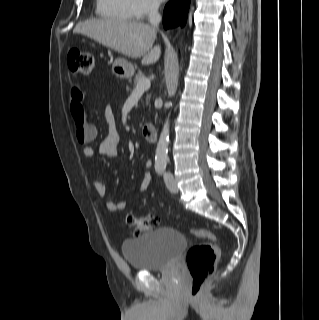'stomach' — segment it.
<instances>
[{
  "label": "stomach",
  "instance_id": "0dacf381",
  "mask_svg": "<svg viewBox=\"0 0 319 320\" xmlns=\"http://www.w3.org/2000/svg\"><path fill=\"white\" fill-rule=\"evenodd\" d=\"M112 73L119 79H129L134 74V67L127 60L118 58L112 64Z\"/></svg>",
  "mask_w": 319,
  "mask_h": 320
}]
</instances>
